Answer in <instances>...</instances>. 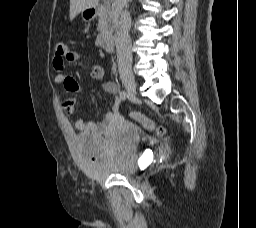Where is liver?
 I'll return each mask as SVG.
<instances>
[{
  "instance_id": "6515ba94",
  "label": "liver",
  "mask_w": 256,
  "mask_h": 228,
  "mask_svg": "<svg viewBox=\"0 0 256 228\" xmlns=\"http://www.w3.org/2000/svg\"><path fill=\"white\" fill-rule=\"evenodd\" d=\"M99 0H70V19L73 20L81 11L96 7Z\"/></svg>"
}]
</instances>
